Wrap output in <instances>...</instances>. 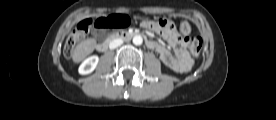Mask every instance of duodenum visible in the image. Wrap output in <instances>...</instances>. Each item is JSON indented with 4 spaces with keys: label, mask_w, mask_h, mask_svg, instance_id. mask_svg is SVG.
<instances>
[{
    "label": "duodenum",
    "mask_w": 276,
    "mask_h": 120,
    "mask_svg": "<svg viewBox=\"0 0 276 120\" xmlns=\"http://www.w3.org/2000/svg\"><path fill=\"white\" fill-rule=\"evenodd\" d=\"M140 35L141 34L136 33V32H124V31L117 32V33L111 35L108 39L100 42L98 44L97 48L100 51H105L109 47V45L115 40H118V39L128 40V39L140 36ZM146 44L147 45L149 44V40H146Z\"/></svg>",
    "instance_id": "obj_1"
}]
</instances>
